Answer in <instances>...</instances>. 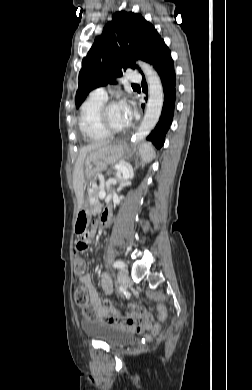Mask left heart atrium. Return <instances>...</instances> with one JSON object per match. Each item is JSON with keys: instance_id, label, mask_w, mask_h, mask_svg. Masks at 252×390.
<instances>
[{"instance_id": "left-heart-atrium-1", "label": "left heart atrium", "mask_w": 252, "mask_h": 390, "mask_svg": "<svg viewBox=\"0 0 252 390\" xmlns=\"http://www.w3.org/2000/svg\"><path fill=\"white\" fill-rule=\"evenodd\" d=\"M118 104H120L126 119L130 123L134 117V110L132 105L128 101H122Z\"/></svg>"}]
</instances>
